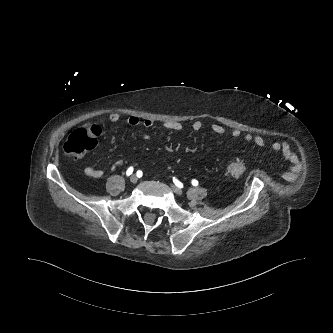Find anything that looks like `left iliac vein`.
<instances>
[{
    "label": "left iliac vein",
    "mask_w": 333,
    "mask_h": 333,
    "mask_svg": "<svg viewBox=\"0 0 333 333\" xmlns=\"http://www.w3.org/2000/svg\"><path fill=\"white\" fill-rule=\"evenodd\" d=\"M171 188H172V190H173V192L175 194H177V195H181L182 194V190L180 188H178L177 186L172 185Z\"/></svg>",
    "instance_id": "4c4485c4"
}]
</instances>
